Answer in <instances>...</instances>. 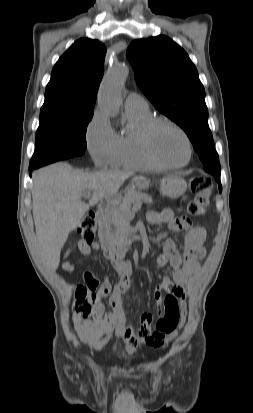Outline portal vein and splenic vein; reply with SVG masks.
<instances>
[{
  "mask_svg": "<svg viewBox=\"0 0 253 413\" xmlns=\"http://www.w3.org/2000/svg\"><path fill=\"white\" fill-rule=\"evenodd\" d=\"M83 196H84L85 198H89V197L91 196V192H90V191H86V192L83 193ZM137 208H138V207H137Z\"/></svg>",
  "mask_w": 253,
  "mask_h": 413,
  "instance_id": "obj_1",
  "label": "portal vein and splenic vein"
}]
</instances>
